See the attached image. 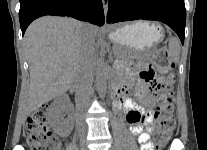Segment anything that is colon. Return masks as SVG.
Returning a JSON list of instances; mask_svg holds the SVG:
<instances>
[{"label":"colon","mask_w":207,"mask_h":150,"mask_svg":"<svg viewBox=\"0 0 207 150\" xmlns=\"http://www.w3.org/2000/svg\"><path fill=\"white\" fill-rule=\"evenodd\" d=\"M151 60L162 71L155 86L158 106L155 113L154 130L156 148H161L175 130V120L172 114L174 101L172 76L168 74L170 60L167 49L164 47L155 49L151 54ZM25 132L30 150H58L59 143L48 127L45 108H39L28 116Z\"/></svg>","instance_id":"obj_1"}]
</instances>
